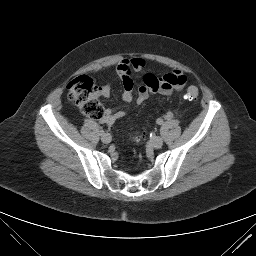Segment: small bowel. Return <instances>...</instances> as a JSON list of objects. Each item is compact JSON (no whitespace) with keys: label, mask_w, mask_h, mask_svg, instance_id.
<instances>
[{"label":"small bowel","mask_w":256,"mask_h":256,"mask_svg":"<svg viewBox=\"0 0 256 256\" xmlns=\"http://www.w3.org/2000/svg\"><path fill=\"white\" fill-rule=\"evenodd\" d=\"M145 61L142 58H130L121 60L116 72L122 80L123 84V99L126 102H131L134 98L133 89L134 83L131 78V71L140 72L145 68ZM185 75L179 70H173L164 76L156 77L151 73H147L143 77V84L137 90L136 102L142 104L145 102L151 93H159L164 96H171L175 92L181 91L186 84ZM111 93V85L104 84L101 87V95L109 97ZM125 115L122 111L106 110L101 122L107 125H112Z\"/></svg>","instance_id":"c3829d8e"}]
</instances>
